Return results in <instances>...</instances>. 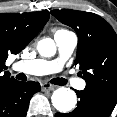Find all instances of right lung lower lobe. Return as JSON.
<instances>
[{
    "label": "right lung lower lobe",
    "mask_w": 117,
    "mask_h": 117,
    "mask_svg": "<svg viewBox=\"0 0 117 117\" xmlns=\"http://www.w3.org/2000/svg\"><path fill=\"white\" fill-rule=\"evenodd\" d=\"M38 91L40 84L33 81L14 80L0 87V117H25L29 101Z\"/></svg>",
    "instance_id": "obj_1"
}]
</instances>
